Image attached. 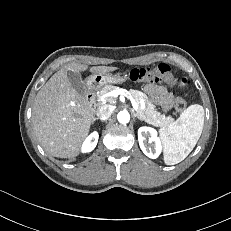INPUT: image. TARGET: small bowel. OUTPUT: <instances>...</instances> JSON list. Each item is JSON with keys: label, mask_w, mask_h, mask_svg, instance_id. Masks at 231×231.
I'll list each match as a JSON object with an SVG mask.
<instances>
[{"label": "small bowel", "mask_w": 231, "mask_h": 231, "mask_svg": "<svg viewBox=\"0 0 231 231\" xmlns=\"http://www.w3.org/2000/svg\"><path fill=\"white\" fill-rule=\"evenodd\" d=\"M146 94L164 111L171 109L174 95L166 86L149 83L144 88Z\"/></svg>", "instance_id": "obj_1"}]
</instances>
